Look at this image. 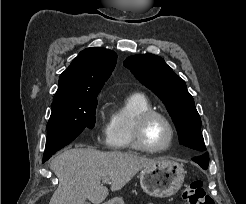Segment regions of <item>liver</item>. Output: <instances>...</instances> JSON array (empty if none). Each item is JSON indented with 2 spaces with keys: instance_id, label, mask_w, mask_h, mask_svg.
I'll list each match as a JSON object with an SVG mask.
<instances>
[{
  "instance_id": "1",
  "label": "liver",
  "mask_w": 246,
  "mask_h": 204,
  "mask_svg": "<svg viewBox=\"0 0 246 204\" xmlns=\"http://www.w3.org/2000/svg\"><path fill=\"white\" fill-rule=\"evenodd\" d=\"M158 160L127 152H102L91 148L69 149L54 157L51 170L59 186L49 204L102 203L109 194L101 181L109 178L112 191L124 187L140 170Z\"/></svg>"
}]
</instances>
